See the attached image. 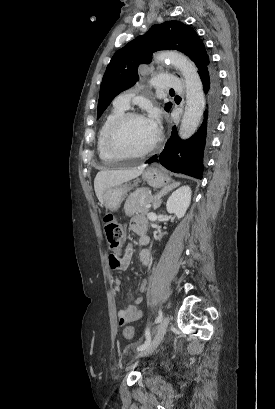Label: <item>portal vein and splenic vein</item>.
Listing matches in <instances>:
<instances>
[{"label":"portal vein and splenic vein","instance_id":"18ae733b","mask_svg":"<svg viewBox=\"0 0 275 409\" xmlns=\"http://www.w3.org/2000/svg\"><path fill=\"white\" fill-rule=\"evenodd\" d=\"M151 205H146V209H150Z\"/></svg>","mask_w":275,"mask_h":409}]
</instances>
